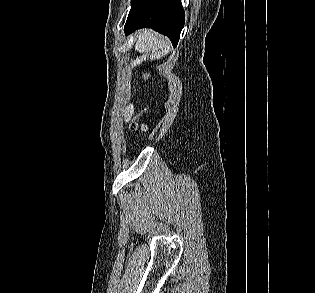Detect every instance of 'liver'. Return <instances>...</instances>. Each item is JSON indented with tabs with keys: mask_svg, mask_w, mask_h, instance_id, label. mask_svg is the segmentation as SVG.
I'll return each mask as SVG.
<instances>
[{
	"mask_svg": "<svg viewBox=\"0 0 315 293\" xmlns=\"http://www.w3.org/2000/svg\"><path fill=\"white\" fill-rule=\"evenodd\" d=\"M158 48L162 49V52H157ZM171 49L170 42L167 38L162 37L152 30H143L137 34L135 50L150 53V60L160 59L164 54ZM150 74H143L144 79H148ZM133 113V105L129 104L124 110L125 122L131 119Z\"/></svg>",
	"mask_w": 315,
	"mask_h": 293,
	"instance_id": "liver-1",
	"label": "liver"
}]
</instances>
